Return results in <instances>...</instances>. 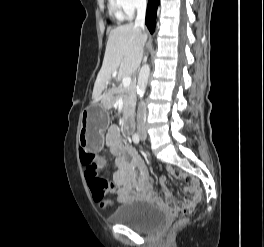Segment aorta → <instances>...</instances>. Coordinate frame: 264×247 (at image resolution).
I'll return each instance as SVG.
<instances>
[{"label": "aorta", "mask_w": 264, "mask_h": 247, "mask_svg": "<svg viewBox=\"0 0 264 247\" xmlns=\"http://www.w3.org/2000/svg\"><path fill=\"white\" fill-rule=\"evenodd\" d=\"M149 74H150V66L148 64H144L141 67V69H140L139 76H138L137 87H136V91H137L138 97L140 99L145 94V90H146V87H147Z\"/></svg>", "instance_id": "762f6f07"}]
</instances>
